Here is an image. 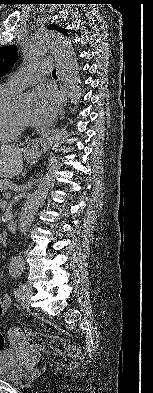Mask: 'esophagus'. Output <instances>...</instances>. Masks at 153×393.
I'll list each match as a JSON object with an SVG mask.
<instances>
[{"label": "esophagus", "instance_id": "34e87169", "mask_svg": "<svg viewBox=\"0 0 153 393\" xmlns=\"http://www.w3.org/2000/svg\"><path fill=\"white\" fill-rule=\"evenodd\" d=\"M61 88H63V87L61 86ZM66 104H67V97H66V95L64 94V95H63L62 104H61V108H60V113H59V115H60V120H62V119L64 118V115H65V106H66ZM38 143H39V139L33 140L31 143L28 144L27 149H28L29 151L34 150L35 148H37Z\"/></svg>", "mask_w": 153, "mask_h": 393}]
</instances>
